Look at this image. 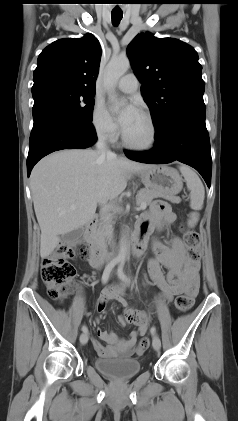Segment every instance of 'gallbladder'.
Returning a JSON list of instances; mask_svg holds the SVG:
<instances>
[{
    "label": "gallbladder",
    "mask_w": 238,
    "mask_h": 421,
    "mask_svg": "<svg viewBox=\"0 0 238 421\" xmlns=\"http://www.w3.org/2000/svg\"><path fill=\"white\" fill-rule=\"evenodd\" d=\"M83 231L81 228H78L76 230H73L67 234L64 235V240L67 243H73L75 242L77 239H79L82 235Z\"/></svg>",
    "instance_id": "obj_1"
}]
</instances>
